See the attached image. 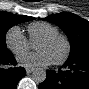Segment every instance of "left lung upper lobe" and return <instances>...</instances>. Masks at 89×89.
<instances>
[{
    "mask_svg": "<svg viewBox=\"0 0 89 89\" xmlns=\"http://www.w3.org/2000/svg\"><path fill=\"white\" fill-rule=\"evenodd\" d=\"M43 20L56 24L67 35L71 46L67 60L89 54V22L87 20L70 12L53 14Z\"/></svg>",
    "mask_w": 89,
    "mask_h": 89,
    "instance_id": "1",
    "label": "left lung upper lobe"
}]
</instances>
